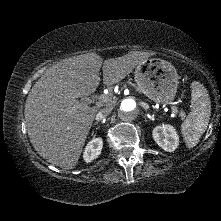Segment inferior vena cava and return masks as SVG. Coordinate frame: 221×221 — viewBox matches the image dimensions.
Listing matches in <instances>:
<instances>
[{
  "label": "inferior vena cava",
  "instance_id": "inferior-vena-cava-1",
  "mask_svg": "<svg viewBox=\"0 0 221 221\" xmlns=\"http://www.w3.org/2000/svg\"><path fill=\"white\" fill-rule=\"evenodd\" d=\"M111 111H112V107H106V108L101 109L96 115V120L97 121L102 120L105 116L109 115Z\"/></svg>",
  "mask_w": 221,
  "mask_h": 221
}]
</instances>
